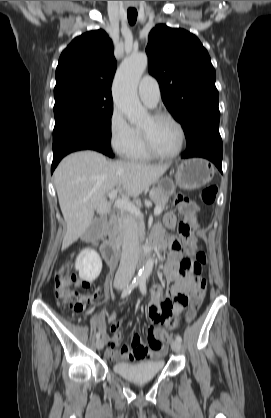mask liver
I'll return each instance as SVG.
<instances>
[{
  "label": "liver",
  "mask_w": 271,
  "mask_h": 418,
  "mask_svg": "<svg viewBox=\"0 0 271 418\" xmlns=\"http://www.w3.org/2000/svg\"><path fill=\"white\" fill-rule=\"evenodd\" d=\"M170 164L149 165L135 161H108L94 151L65 157L54 172L59 205L67 225L62 249L68 248L92 224L95 213L110 212L106 195L115 187L121 199L136 198L155 183Z\"/></svg>",
  "instance_id": "6515ba94"
}]
</instances>
